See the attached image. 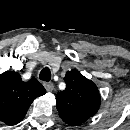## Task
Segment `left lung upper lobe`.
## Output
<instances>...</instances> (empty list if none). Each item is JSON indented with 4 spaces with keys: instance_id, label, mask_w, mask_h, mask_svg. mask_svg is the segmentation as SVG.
<instances>
[{
    "instance_id": "1",
    "label": "left lung upper lobe",
    "mask_w": 130,
    "mask_h": 130,
    "mask_svg": "<svg viewBox=\"0 0 130 130\" xmlns=\"http://www.w3.org/2000/svg\"><path fill=\"white\" fill-rule=\"evenodd\" d=\"M66 88L56 95L59 116L70 125L85 122L98 111L101 98L94 82L79 71H68L64 77Z\"/></svg>"
}]
</instances>
